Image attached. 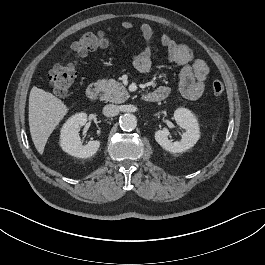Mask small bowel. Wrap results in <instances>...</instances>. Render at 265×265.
Segmentation results:
<instances>
[{"label":"small bowel","instance_id":"c3829d8e","mask_svg":"<svg viewBox=\"0 0 265 265\" xmlns=\"http://www.w3.org/2000/svg\"><path fill=\"white\" fill-rule=\"evenodd\" d=\"M122 28L131 30L133 24L130 21H124ZM140 32L145 41V48L134 56L133 64L139 72L147 73L152 67L151 41L154 31L149 24L144 23L140 27ZM160 41L167 50L168 62L182 67L180 73L182 95L191 100L198 99L203 94L205 82L209 75L208 65L205 61L194 58L187 45L176 42L168 33H162ZM155 91H160L167 96L169 88L160 86Z\"/></svg>","mask_w":265,"mask_h":265}]
</instances>
